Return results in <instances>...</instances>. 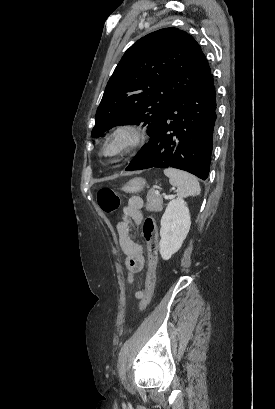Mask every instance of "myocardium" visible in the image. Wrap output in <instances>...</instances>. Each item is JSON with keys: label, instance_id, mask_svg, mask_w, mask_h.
<instances>
[{"label": "myocardium", "instance_id": "f54148a6", "mask_svg": "<svg viewBox=\"0 0 275 409\" xmlns=\"http://www.w3.org/2000/svg\"><path fill=\"white\" fill-rule=\"evenodd\" d=\"M141 132L135 125H122L116 128L103 145L105 157H118L137 145Z\"/></svg>", "mask_w": 275, "mask_h": 409}]
</instances>
